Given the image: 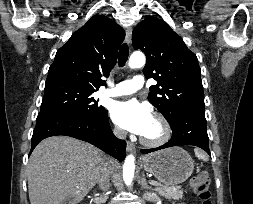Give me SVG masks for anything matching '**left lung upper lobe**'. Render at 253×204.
<instances>
[{
	"label": "left lung upper lobe",
	"mask_w": 253,
	"mask_h": 204,
	"mask_svg": "<svg viewBox=\"0 0 253 204\" xmlns=\"http://www.w3.org/2000/svg\"><path fill=\"white\" fill-rule=\"evenodd\" d=\"M134 49H141L147 62L146 78H154L148 100L170 123L181 112L205 107L198 59L180 36L163 20L148 18L133 30Z\"/></svg>",
	"instance_id": "left-lung-upper-lobe-1"
}]
</instances>
